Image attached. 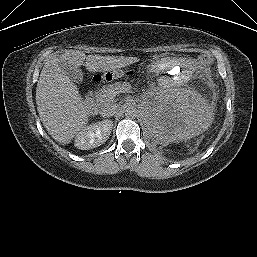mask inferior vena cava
Here are the masks:
<instances>
[{
  "mask_svg": "<svg viewBox=\"0 0 257 257\" xmlns=\"http://www.w3.org/2000/svg\"><path fill=\"white\" fill-rule=\"evenodd\" d=\"M117 110H118V104L107 103L101 107L99 113L103 117H111L116 114Z\"/></svg>",
  "mask_w": 257,
  "mask_h": 257,
  "instance_id": "obj_1",
  "label": "inferior vena cava"
}]
</instances>
